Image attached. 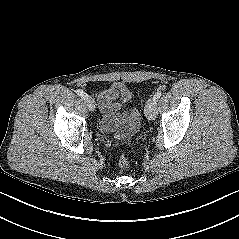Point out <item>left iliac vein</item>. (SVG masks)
I'll use <instances>...</instances> for the list:
<instances>
[{
  "instance_id": "1",
  "label": "left iliac vein",
  "mask_w": 239,
  "mask_h": 239,
  "mask_svg": "<svg viewBox=\"0 0 239 239\" xmlns=\"http://www.w3.org/2000/svg\"><path fill=\"white\" fill-rule=\"evenodd\" d=\"M156 101L154 99L148 100L145 106V115L148 120H154L157 115Z\"/></svg>"
}]
</instances>
